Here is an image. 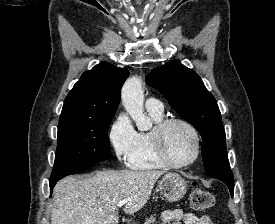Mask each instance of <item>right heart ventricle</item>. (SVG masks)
Returning <instances> with one entry per match:
<instances>
[{"label": "right heart ventricle", "instance_id": "e07e8e85", "mask_svg": "<svg viewBox=\"0 0 275 224\" xmlns=\"http://www.w3.org/2000/svg\"><path fill=\"white\" fill-rule=\"evenodd\" d=\"M148 113L155 124L164 119L163 112L148 111ZM149 133L137 132L135 148L127 160L130 168L135 170H156L165 167L154 156L150 145Z\"/></svg>", "mask_w": 275, "mask_h": 224}]
</instances>
